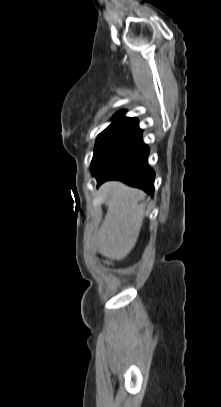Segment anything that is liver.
I'll list each match as a JSON object with an SVG mask.
<instances>
[{
	"label": "liver",
	"instance_id": "6515ba94",
	"mask_svg": "<svg viewBox=\"0 0 221 407\" xmlns=\"http://www.w3.org/2000/svg\"><path fill=\"white\" fill-rule=\"evenodd\" d=\"M100 191L106 200L107 213L93 241L102 255L124 259L139 237L145 213V204L139 202L145 194L119 181L106 182Z\"/></svg>",
	"mask_w": 221,
	"mask_h": 407
}]
</instances>
